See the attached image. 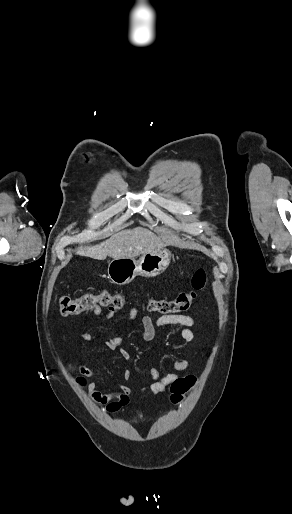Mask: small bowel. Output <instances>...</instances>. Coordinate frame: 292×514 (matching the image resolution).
I'll return each mask as SVG.
<instances>
[{
  "instance_id": "c3829d8e",
  "label": "small bowel",
  "mask_w": 292,
  "mask_h": 514,
  "mask_svg": "<svg viewBox=\"0 0 292 514\" xmlns=\"http://www.w3.org/2000/svg\"><path fill=\"white\" fill-rule=\"evenodd\" d=\"M93 312L96 317L102 319H111L114 315V311L110 310L105 312L100 305H95L93 308ZM137 316V310L132 308L129 312V319L133 320ZM141 324L143 328V339L146 341H152L155 338V332L157 328L165 327V326H183L179 332L181 339L188 345L193 344L195 340V334L191 330V327L194 326V319L186 314H176V315H162L153 319L150 316H143L141 318ZM80 338L83 341H90L92 339V334L90 332L81 331L79 333ZM122 342V335H118L112 337L106 341V346L110 350H116ZM82 353V345H79L77 348V354L79 357L78 360V370L79 373L89 379L95 377V372L86 365V363L81 359ZM120 357L123 360H129L130 354L125 349L119 350ZM189 367V360L187 358H183L180 360H176L173 363V369L175 372L168 373L166 375L161 376L156 368H151L148 371L149 380L139 387L138 391L140 393L146 391H152L153 393H162L166 390L167 385H171L174 381L180 378L179 372H183L187 370ZM124 378L127 380L130 377L129 370H125L123 372ZM87 389L89 390L92 398L95 400L106 404L105 410L107 412L119 413L122 411L123 407L128 403L129 395L131 393V388L128 385L122 384L119 387V391L117 393H102L97 390V384L94 381H91L87 385Z\"/></svg>"
}]
</instances>
